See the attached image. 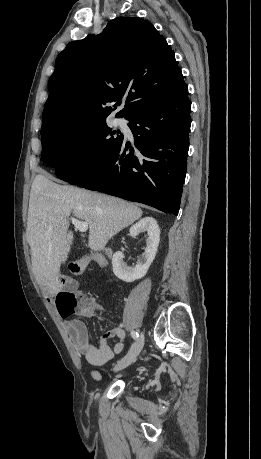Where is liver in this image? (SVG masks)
I'll return each mask as SVG.
<instances>
[{
  "label": "liver",
  "instance_id": "liver-1",
  "mask_svg": "<svg viewBox=\"0 0 261 459\" xmlns=\"http://www.w3.org/2000/svg\"><path fill=\"white\" fill-rule=\"evenodd\" d=\"M71 213L88 224V245L94 251L104 249L113 236L143 214L138 206L120 198L57 184L46 173L36 175L30 192L27 240L35 278L50 297L62 290L60 266L74 239L68 232Z\"/></svg>",
  "mask_w": 261,
  "mask_h": 459
}]
</instances>
